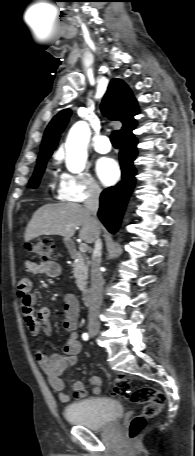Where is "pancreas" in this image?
I'll return each mask as SVG.
<instances>
[{
  "label": "pancreas",
  "mask_w": 195,
  "mask_h": 456,
  "mask_svg": "<svg viewBox=\"0 0 195 456\" xmlns=\"http://www.w3.org/2000/svg\"><path fill=\"white\" fill-rule=\"evenodd\" d=\"M71 256L74 258V263L72 266L76 284L78 286V289L84 292L88 279L89 259L85 254L76 251H72Z\"/></svg>",
  "instance_id": "cf45deb5"
}]
</instances>
